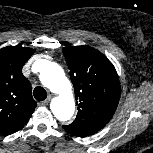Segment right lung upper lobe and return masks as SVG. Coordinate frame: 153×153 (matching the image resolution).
Here are the masks:
<instances>
[{"mask_svg": "<svg viewBox=\"0 0 153 153\" xmlns=\"http://www.w3.org/2000/svg\"><path fill=\"white\" fill-rule=\"evenodd\" d=\"M34 49L7 46L0 49V134L10 135L28 122L37 106L22 67Z\"/></svg>", "mask_w": 153, "mask_h": 153, "instance_id": "cb5924a9", "label": "right lung upper lobe"}]
</instances>
